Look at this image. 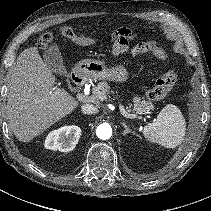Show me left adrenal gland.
<instances>
[{"label": "left adrenal gland", "instance_id": "a2214340", "mask_svg": "<svg viewBox=\"0 0 211 211\" xmlns=\"http://www.w3.org/2000/svg\"><path fill=\"white\" fill-rule=\"evenodd\" d=\"M122 126L125 128L123 135H126L128 133H132L133 135H137L134 131H132L125 123H121Z\"/></svg>", "mask_w": 211, "mask_h": 211}]
</instances>
